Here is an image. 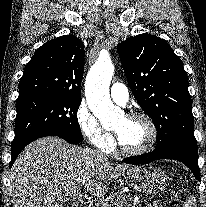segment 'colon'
<instances>
[{"instance_id":"obj_1","label":"colon","mask_w":206,"mask_h":207,"mask_svg":"<svg viewBox=\"0 0 206 207\" xmlns=\"http://www.w3.org/2000/svg\"><path fill=\"white\" fill-rule=\"evenodd\" d=\"M181 198H182V192L177 189L173 190L170 194L169 206L170 207H180ZM70 207H76V206H70Z\"/></svg>"}]
</instances>
